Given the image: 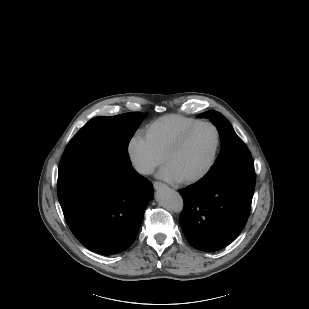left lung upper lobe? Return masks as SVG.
Instances as JSON below:
<instances>
[{
	"label": "left lung upper lobe",
	"instance_id": "obj_1",
	"mask_svg": "<svg viewBox=\"0 0 309 309\" xmlns=\"http://www.w3.org/2000/svg\"><path fill=\"white\" fill-rule=\"evenodd\" d=\"M197 118H208L217 127L221 138V151L207 176L215 175L227 166L250 159L251 155L243 141L237 136L229 121L217 111H207Z\"/></svg>",
	"mask_w": 309,
	"mask_h": 309
}]
</instances>
